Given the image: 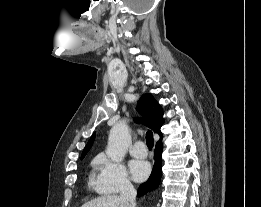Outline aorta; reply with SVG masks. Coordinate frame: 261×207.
I'll return each mask as SVG.
<instances>
[{
	"label": "aorta",
	"instance_id": "762f6f07",
	"mask_svg": "<svg viewBox=\"0 0 261 207\" xmlns=\"http://www.w3.org/2000/svg\"><path fill=\"white\" fill-rule=\"evenodd\" d=\"M130 144L131 135L128 125L125 121H120L110 130L106 154L112 161L121 162Z\"/></svg>",
	"mask_w": 261,
	"mask_h": 207
}]
</instances>
